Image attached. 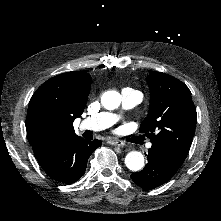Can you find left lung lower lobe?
<instances>
[{"label": "left lung lower lobe", "mask_w": 221, "mask_h": 221, "mask_svg": "<svg viewBox=\"0 0 221 221\" xmlns=\"http://www.w3.org/2000/svg\"><path fill=\"white\" fill-rule=\"evenodd\" d=\"M147 160L142 171L131 174L132 180L147 190L168 182L183 164L168 149L156 144L148 150Z\"/></svg>", "instance_id": "obj_1"}]
</instances>
